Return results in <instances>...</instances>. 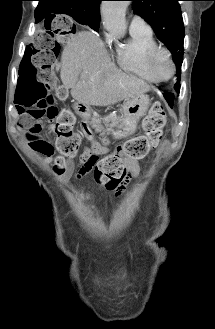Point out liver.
Returning a JSON list of instances; mask_svg holds the SVG:
<instances>
[{
	"instance_id": "6515ba94",
	"label": "liver",
	"mask_w": 215,
	"mask_h": 329,
	"mask_svg": "<svg viewBox=\"0 0 215 329\" xmlns=\"http://www.w3.org/2000/svg\"><path fill=\"white\" fill-rule=\"evenodd\" d=\"M63 86L79 103L108 106L150 91L144 81L123 73L111 62L103 42L82 31L68 40L61 56Z\"/></svg>"
}]
</instances>
